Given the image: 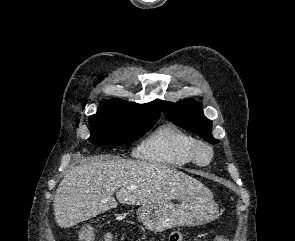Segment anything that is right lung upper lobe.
<instances>
[{
    "instance_id": "cb5924a9",
    "label": "right lung upper lobe",
    "mask_w": 295,
    "mask_h": 241,
    "mask_svg": "<svg viewBox=\"0 0 295 241\" xmlns=\"http://www.w3.org/2000/svg\"><path fill=\"white\" fill-rule=\"evenodd\" d=\"M112 101H118L121 102L131 108H136L139 110H142L146 113L155 115V116H160V111H161V107H160V101L159 100H154L152 102L146 103V104H137V103H129L127 101L121 100V99H114Z\"/></svg>"
}]
</instances>
